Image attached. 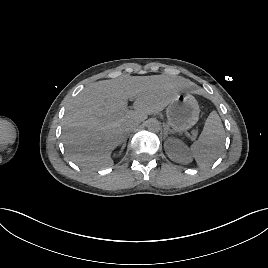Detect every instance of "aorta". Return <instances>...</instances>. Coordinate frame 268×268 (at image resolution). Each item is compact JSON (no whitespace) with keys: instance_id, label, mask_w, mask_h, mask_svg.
<instances>
[{"instance_id":"aorta-1","label":"aorta","mask_w":268,"mask_h":268,"mask_svg":"<svg viewBox=\"0 0 268 268\" xmlns=\"http://www.w3.org/2000/svg\"><path fill=\"white\" fill-rule=\"evenodd\" d=\"M147 128L150 132L157 133L161 129V123L157 119H149L147 121Z\"/></svg>"}]
</instances>
